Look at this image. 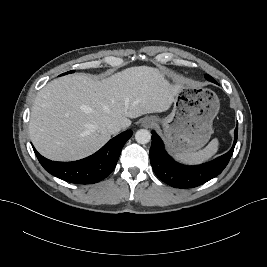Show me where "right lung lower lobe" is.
<instances>
[{
  "label": "right lung lower lobe",
  "mask_w": 267,
  "mask_h": 267,
  "mask_svg": "<svg viewBox=\"0 0 267 267\" xmlns=\"http://www.w3.org/2000/svg\"><path fill=\"white\" fill-rule=\"evenodd\" d=\"M132 134L131 130L122 132L93 155L74 162L51 161L35 149L34 152L43 168L55 177L70 183L93 184L103 180L114 170L122 147Z\"/></svg>",
  "instance_id": "right-lung-lower-lobe-1"
}]
</instances>
